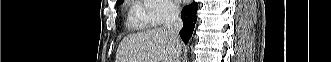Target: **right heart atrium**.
<instances>
[{
	"mask_svg": "<svg viewBox=\"0 0 331 62\" xmlns=\"http://www.w3.org/2000/svg\"><path fill=\"white\" fill-rule=\"evenodd\" d=\"M144 12V24L149 27H157L178 16L179 9L170 0H141L139 1Z\"/></svg>",
	"mask_w": 331,
	"mask_h": 62,
	"instance_id": "d8ad5b80",
	"label": "right heart atrium"
}]
</instances>
